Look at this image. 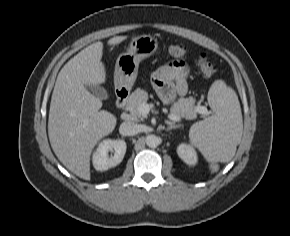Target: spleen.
<instances>
[{"label": "spleen", "instance_id": "1", "mask_svg": "<svg viewBox=\"0 0 290 236\" xmlns=\"http://www.w3.org/2000/svg\"><path fill=\"white\" fill-rule=\"evenodd\" d=\"M208 102L213 114L193 124L189 138L214 173L219 170L218 162H228L234 157L242 137L243 120L238 96L224 81L212 84Z\"/></svg>", "mask_w": 290, "mask_h": 236}]
</instances>
